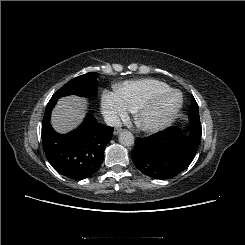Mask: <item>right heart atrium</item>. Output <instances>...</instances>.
<instances>
[{
    "mask_svg": "<svg viewBox=\"0 0 245 245\" xmlns=\"http://www.w3.org/2000/svg\"><path fill=\"white\" fill-rule=\"evenodd\" d=\"M101 110L111 124H116L125 119L131 109L116 91L104 90L101 96Z\"/></svg>",
    "mask_w": 245,
    "mask_h": 245,
    "instance_id": "1",
    "label": "right heart atrium"
}]
</instances>
